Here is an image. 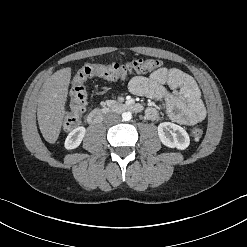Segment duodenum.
<instances>
[{
	"mask_svg": "<svg viewBox=\"0 0 247 247\" xmlns=\"http://www.w3.org/2000/svg\"><path fill=\"white\" fill-rule=\"evenodd\" d=\"M108 110L133 111L139 113L142 111V106L138 103L126 102V103L112 104L107 107L96 108L88 114L87 122L92 125L100 123L103 119L104 114Z\"/></svg>",
	"mask_w": 247,
	"mask_h": 247,
	"instance_id": "410a0bca",
	"label": "duodenum"
}]
</instances>
